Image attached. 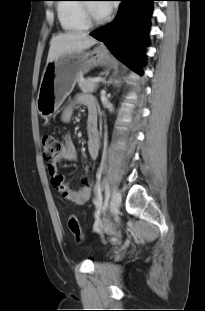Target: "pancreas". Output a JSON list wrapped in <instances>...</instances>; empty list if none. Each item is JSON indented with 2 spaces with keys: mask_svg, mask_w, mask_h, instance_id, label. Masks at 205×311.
<instances>
[{
  "mask_svg": "<svg viewBox=\"0 0 205 311\" xmlns=\"http://www.w3.org/2000/svg\"><path fill=\"white\" fill-rule=\"evenodd\" d=\"M76 81L78 83L79 88L84 93H92L98 87V84L96 82H93L92 79H84L80 76L77 78Z\"/></svg>",
  "mask_w": 205,
  "mask_h": 311,
  "instance_id": "cf45deb5",
  "label": "pancreas"
}]
</instances>
